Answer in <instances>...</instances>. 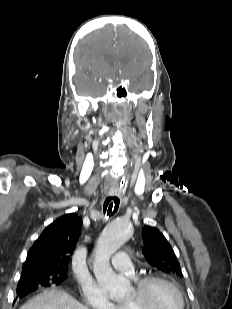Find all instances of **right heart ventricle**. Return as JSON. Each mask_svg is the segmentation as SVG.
<instances>
[{
	"label": "right heart ventricle",
	"mask_w": 232,
	"mask_h": 309,
	"mask_svg": "<svg viewBox=\"0 0 232 309\" xmlns=\"http://www.w3.org/2000/svg\"><path fill=\"white\" fill-rule=\"evenodd\" d=\"M115 309H131L126 302L115 304Z\"/></svg>",
	"instance_id": "1"
}]
</instances>
